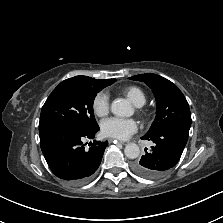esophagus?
<instances>
[{
    "instance_id": "esophagus-1",
    "label": "esophagus",
    "mask_w": 223,
    "mask_h": 223,
    "mask_svg": "<svg viewBox=\"0 0 223 223\" xmlns=\"http://www.w3.org/2000/svg\"><path fill=\"white\" fill-rule=\"evenodd\" d=\"M117 142V140H114V139H109V142L112 143V142ZM118 143L122 144V145H125L127 142H124V141H118Z\"/></svg>"
}]
</instances>
